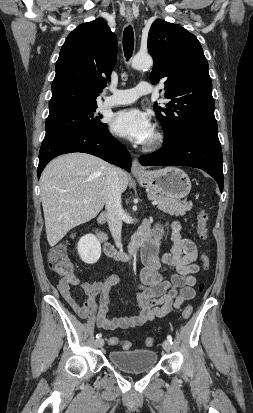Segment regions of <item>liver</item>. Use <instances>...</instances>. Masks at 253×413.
Segmentation results:
<instances>
[{
    "label": "liver",
    "instance_id": "1",
    "mask_svg": "<svg viewBox=\"0 0 253 413\" xmlns=\"http://www.w3.org/2000/svg\"><path fill=\"white\" fill-rule=\"evenodd\" d=\"M111 165L87 153H69L52 160L40 178L47 241L55 246L72 228L95 218L108 193ZM121 192L128 175L119 169ZM84 200H88L84 203Z\"/></svg>",
    "mask_w": 253,
    "mask_h": 413
}]
</instances>
